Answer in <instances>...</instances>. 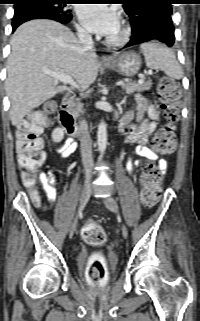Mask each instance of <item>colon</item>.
<instances>
[{"instance_id":"obj_1","label":"colon","mask_w":200,"mask_h":321,"mask_svg":"<svg viewBox=\"0 0 200 321\" xmlns=\"http://www.w3.org/2000/svg\"><path fill=\"white\" fill-rule=\"evenodd\" d=\"M156 93L161 102L166 123L156 132L153 148L160 155H168L175 150L177 144L175 124L180 115V87L175 80L164 77L160 79ZM54 110L55 105L52 102H46L41 109L32 112L18 127L17 159L22 169L23 184L28 188L35 187L37 170L45 159L40 134L47 126L49 116ZM162 179L163 174L159 167L153 163L145 164L141 175V201L144 206L153 207L157 203L161 194ZM32 198L38 202L36 191L32 192ZM81 235L86 243L93 246H99L106 240L103 228L93 221L84 224ZM86 276L95 286L105 282L106 267L101 257H93L89 261Z\"/></svg>"}]
</instances>
